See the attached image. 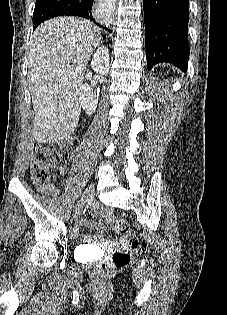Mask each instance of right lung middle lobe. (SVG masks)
Here are the masks:
<instances>
[{
  "label": "right lung middle lobe",
  "instance_id": "dd1d6c3e",
  "mask_svg": "<svg viewBox=\"0 0 227 315\" xmlns=\"http://www.w3.org/2000/svg\"><path fill=\"white\" fill-rule=\"evenodd\" d=\"M74 0H36L33 13V30L43 21L56 17L57 12Z\"/></svg>",
  "mask_w": 227,
  "mask_h": 315
}]
</instances>
